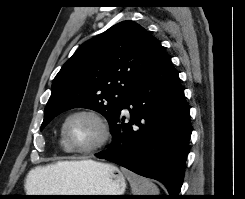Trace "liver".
<instances>
[{
	"label": "liver",
	"instance_id": "obj_1",
	"mask_svg": "<svg viewBox=\"0 0 245 199\" xmlns=\"http://www.w3.org/2000/svg\"><path fill=\"white\" fill-rule=\"evenodd\" d=\"M92 160L59 161L48 166H38L32 169L26 179L27 188L38 189L45 193H61L67 190L66 182L70 174Z\"/></svg>",
	"mask_w": 245,
	"mask_h": 199
}]
</instances>
